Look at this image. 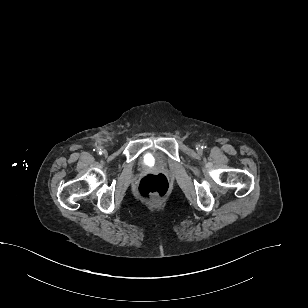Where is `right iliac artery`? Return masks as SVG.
I'll return each mask as SVG.
<instances>
[{
	"label": "right iliac artery",
	"mask_w": 308,
	"mask_h": 308,
	"mask_svg": "<svg viewBox=\"0 0 308 308\" xmlns=\"http://www.w3.org/2000/svg\"><path fill=\"white\" fill-rule=\"evenodd\" d=\"M97 152L99 153V154H102V150H101V148H97Z\"/></svg>",
	"instance_id": "obj_1"
}]
</instances>
